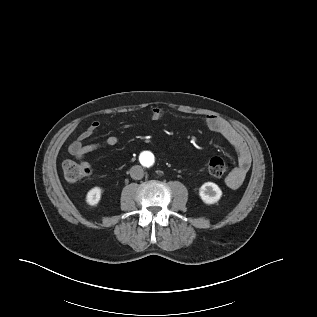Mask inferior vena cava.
I'll return each instance as SVG.
<instances>
[{"label":"inferior vena cava","mask_w":317,"mask_h":317,"mask_svg":"<svg viewBox=\"0 0 317 317\" xmlns=\"http://www.w3.org/2000/svg\"><path fill=\"white\" fill-rule=\"evenodd\" d=\"M130 176L135 180H140L144 176V170L140 165H135L130 169Z\"/></svg>","instance_id":"1"}]
</instances>
